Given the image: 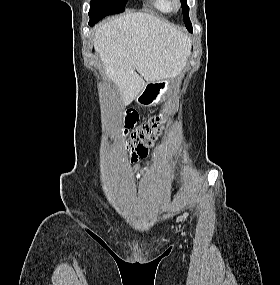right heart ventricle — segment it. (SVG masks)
Wrapping results in <instances>:
<instances>
[{
    "mask_svg": "<svg viewBox=\"0 0 280 285\" xmlns=\"http://www.w3.org/2000/svg\"><path fill=\"white\" fill-rule=\"evenodd\" d=\"M150 3L153 7L162 13H168L172 10L169 0H150Z\"/></svg>",
    "mask_w": 280,
    "mask_h": 285,
    "instance_id": "e07e8e85",
    "label": "right heart ventricle"
}]
</instances>
